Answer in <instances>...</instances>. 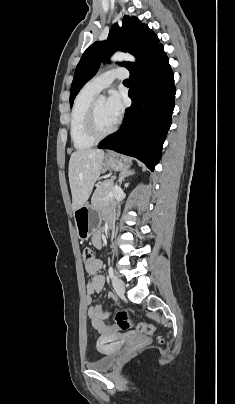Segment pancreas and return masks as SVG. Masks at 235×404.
<instances>
[{"mask_svg": "<svg viewBox=\"0 0 235 404\" xmlns=\"http://www.w3.org/2000/svg\"><path fill=\"white\" fill-rule=\"evenodd\" d=\"M114 189V179H109L100 183L96 188L91 203L95 207L103 208L107 204L114 202V198H107L109 192Z\"/></svg>", "mask_w": 235, "mask_h": 404, "instance_id": "cf45deb5", "label": "pancreas"}]
</instances>
